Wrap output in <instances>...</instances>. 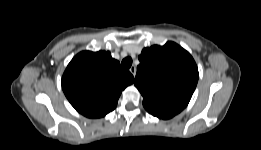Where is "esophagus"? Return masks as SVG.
<instances>
[{
  "instance_id": "1",
  "label": "esophagus",
  "mask_w": 261,
  "mask_h": 150,
  "mask_svg": "<svg viewBox=\"0 0 261 150\" xmlns=\"http://www.w3.org/2000/svg\"><path fill=\"white\" fill-rule=\"evenodd\" d=\"M129 71H130V73H131L133 76H135V74H136V67H135V66H131V67L129 68Z\"/></svg>"
}]
</instances>
